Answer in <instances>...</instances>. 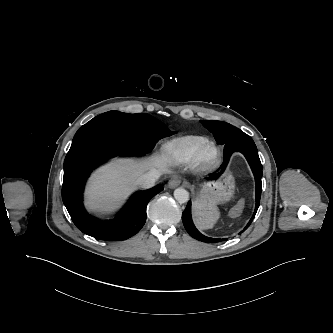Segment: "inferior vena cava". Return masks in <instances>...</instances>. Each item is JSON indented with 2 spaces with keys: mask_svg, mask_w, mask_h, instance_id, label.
Returning a JSON list of instances; mask_svg holds the SVG:
<instances>
[{
  "mask_svg": "<svg viewBox=\"0 0 333 333\" xmlns=\"http://www.w3.org/2000/svg\"><path fill=\"white\" fill-rule=\"evenodd\" d=\"M160 177L158 172H150L140 176L136 184L143 189H149L155 185V181Z\"/></svg>",
  "mask_w": 333,
  "mask_h": 333,
  "instance_id": "obj_1",
  "label": "inferior vena cava"
}]
</instances>
